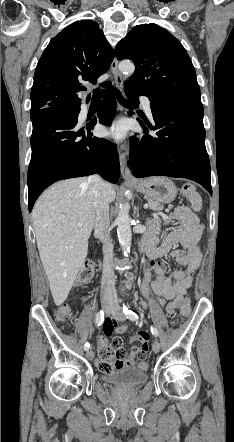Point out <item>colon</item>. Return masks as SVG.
Segmentation results:
<instances>
[{
	"label": "colon",
	"mask_w": 234,
	"mask_h": 442,
	"mask_svg": "<svg viewBox=\"0 0 234 442\" xmlns=\"http://www.w3.org/2000/svg\"><path fill=\"white\" fill-rule=\"evenodd\" d=\"M182 194L188 199L197 198L198 196L195 185L191 183H187L182 187ZM94 268L95 265L93 261L88 260L84 263L77 277V284L79 286H83L90 281L94 273ZM189 312L190 301L189 299H186L180 311V319L187 317ZM56 318L58 321L67 322L71 318L70 307L68 305L60 306L56 311ZM146 350H148V348ZM100 357L101 359L97 360L96 363L99 370L103 373H110L114 369L126 366V353L123 347H121L119 350L114 349V347L111 345L109 347L102 348L100 350ZM144 361L145 359L140 361V363L137 365L139 370L146 368V363Z\"/></svg>",
	"instance_id": "5ec220e1"
}]
</instances>
